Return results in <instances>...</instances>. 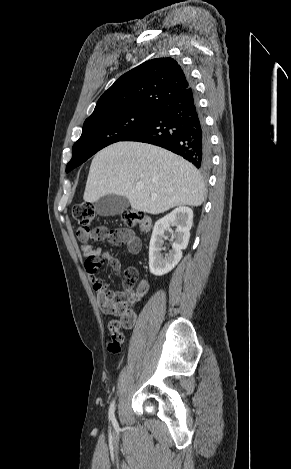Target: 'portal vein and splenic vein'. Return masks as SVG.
Wrapping results in <instances>:
<instances>
[{"label": "portal vein and splenic vein", "mask_w": 291, "mask_h": 469, "mask_svg": "<svg viewBox=\"0 0 291 469\" xmlns=\"http://www.w3.org/2000/svg\"><path fill=\"white\" fill-rule=\"evenodd\" d=\"M136 188H137L138 190H141V189H143V184H141V183H138V184L136 185Z\"/></svg>", "instance_id": "1"}]
</instances>
